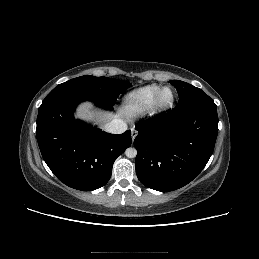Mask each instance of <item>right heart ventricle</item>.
I'll list each match as a JSON object with an SVG mask.
<instances>
[{"label": "right heart ventricle", "instance_id": "right-heart-ventricle-1", "mask_svg": "<svg viewBox=\"0 0 259 259\" xmlns=\"http://www.w3.org/2000/svg\"><path fill=\"white\" fill-rule=\"evenodd\" d=\"M160 86L152 84L129 92L123 100L126 111L131 114H141L150 109L153 99Z\"/></svg>", "mask_w": 259, "mask_h": 259}]
</instances>
